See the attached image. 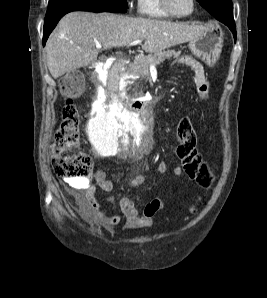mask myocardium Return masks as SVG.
Masks as SVG:
<instances>
[{
    "mask_svg": "<svg viewBox=\"0 0 267 298\" xmlns=\"http://www.w3.org/2000/svg\"><path fill=\"white\" fill-rule=\"evenodd\" d=\"M160 1V5L162 7V9L167 12L169 15L173 16V17H176V18H186V17H189L191 16L195 9H196V0H191L192 2V8H191V11L188 12L187 14H178L176 13L171 5H170V1L169 0H159Z\"/></svg>",
    "mask_w": 267,
    "mask_h": 298,
    "instance_id": "myocardium-1",
    "label": "myocardium"
}]
</instances>
